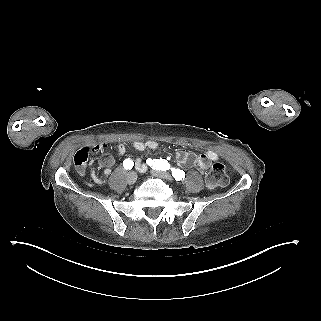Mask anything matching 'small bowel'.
Instances as JSON below:
<instances>
[{"label":"small bowel","mask_w":321,"mask_h":321,"mask_svg":"<svg viewBox=\"0 0 321 321\" xmlns=\"http://www.w3.org/2000/svg\"><path fill=\"white\" fill-rule=\"evenodd\" d=\"M132 147L137 151H145L148 149L156 150L159 148V143L154 140L134 141L132 143ZM117 153L118 155H124L126 153V148L123 144L117 145ZM90 154H100L102 156L100 161V167L103 168V175L99 176L95 170H93L91 173L93 181L98 184H102L108 179V177L111 174V166L114 164V159L112 156L108 155L107 145L105 143L86 145L76 153L75 157H84L87 162L88 156ZM175 157L177 163L182 167H194L200 171H204L208 168L212 161L218 159V154L214 151L207 150L203 151L199 156H196L195 154L189 151L181 150L176 153ZM135 165L137 170H139L140 172H145L147 169L146 164H144L139 158L135 160Z\"/></svg>","instance_id":"small-bowel-1"}]
</instances>
